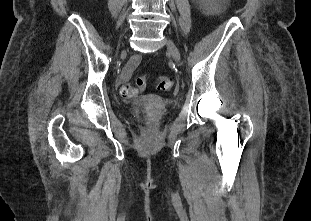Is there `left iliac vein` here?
<instances>
[{
    "mask_svg": "<svg viewBox=\"0 0 311 221\" xmlns=\"http://www.w3.org/2000/svg\"><path fill=\"white\" fill-rule=\"evenodd\" d=\"M167 49L170 52V54L172 55L173 59L177 63H179L180 62V52L172 40H167Z\"/></svg>",
    "mask_w": 311,
    "mask_h": 221,
    "instance_id": "left-iliac-vein-1",
    "label": "left iliac vein"
}]
</instances>
